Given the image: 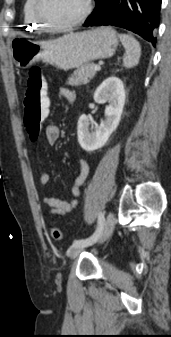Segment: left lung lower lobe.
<instances>
[{"mask_svg": "<svg viewBox=\"0 0 171 337\" xmlns=\"http://www.w3.org/2000/svg\"><path fill=\"white\" fill-rule=\"evenodd\" d=\"M161 0H96L84 27L117 26L139 34L155 46Z\"/></svg>", "mask_w": 171, "mask_h": 337, "instance_id": "left-lung-lower-lobe-1", "label": "left lung lower lobe"}]
</instances>
